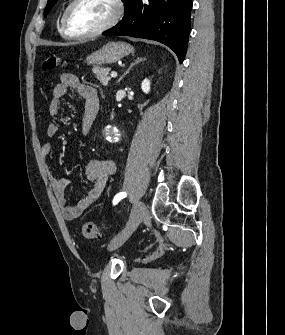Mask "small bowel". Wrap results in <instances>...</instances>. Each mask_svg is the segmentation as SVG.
Masks as SVG:
<instances>
[{"label":"small bowel","mask_w":285,"mask_h":335,"mask_svg":"<svg viewBox=\"0 0 285 335\" xmlns=\"http://www.w3.org/2000/svg\"><path fill=\"white\" fill-rule=\"evenodd\" d=\"M69 89L75 90L78 96L84 100L85 115L82 120V130L85 134H89L92 130L96 117L92 116L91 112L95 107L99 108V98L94 87L81 83L76 76L68 73H64L60 76L59 83L55 85L52 91V98L48 109L49 114L52 117H57L59 115L60 101ZM58 131L59 125L56 122H51L47 126L46 133L49 138H53L58 134ZM52 153V142H45L42 146L43 156L48 159L52 156ZM112 171L113 164L109 160L102 159L88 162L85 167V175L86 178L92 182V187L83 199H81L76 205L70 206L66 202L65 195L67 180L63 177L56 176L49 170V182L64 219L72 221L79 218L86 209L96 202L102 194L106 186L108 176L112 173Z\"/></svg>","instance_id":"1"}]
</instances>
